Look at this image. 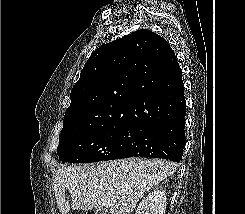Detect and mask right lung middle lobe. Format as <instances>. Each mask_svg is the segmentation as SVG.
Returning <instances> with one entry per match:
<instances>
[{"label":"right lung middle lobe","instance_id":"obj_1","mask_svg":"<svg viewBox=\"0 0 245 214\" xmlns=\"http://www.w3.org/2000/svg\"><path fill=\"white\" fill-rule=\"evenodd\" d=\"M130 127L131 120L80 127L64 119L57 148L59 160L62 163L114 160Z\"/></svg>","mask_w":245,"mask_h":214}]
</instances>
